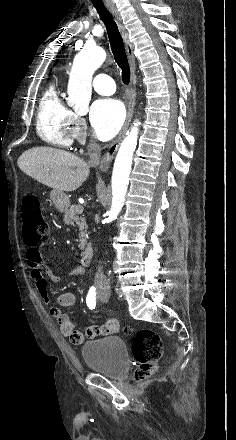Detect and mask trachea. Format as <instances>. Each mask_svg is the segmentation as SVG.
Here are the masks:
<instances>
[{"instance_id":"3493384b","label":"trachea","mask_w":236,"mask_h":440,"mask_svg":"<svg viewBox=\"0 0 236 440\" xmlns=\"http://www.w3.org/2000/svg\"><path fill=\"white\" fill-rule=\"evenodd\" d=\"M101 20L105 23L107 28V33L111 45V50L116 63L122 70V81L124 84L128 85L131 78V72L129 68V63L127 55L124 48L123 39L119 32L118 26L110 13L106 10L102 2L93 3Z\"/></svg>"}]
</instances>
